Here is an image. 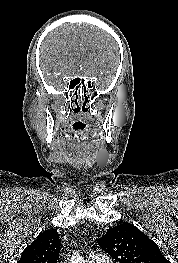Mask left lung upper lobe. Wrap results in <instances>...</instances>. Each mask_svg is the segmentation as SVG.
<instances>
[{"mask_svg": "<svg viewBox=\"0 0 178 263\" xmlns=\"http://www.w3.org/2000/svg\"><path fill=\"white\" fill-rule=\"evenodd\" d=\"M97 242L120 263H170L157 244L130 223L110 229Z\"/></svg>", "mask_w": 178, "mask_h": 263, "instance_id": "left-lung-upper-lobe-1", "label": "left lung upper lobe"}]
</instances>
